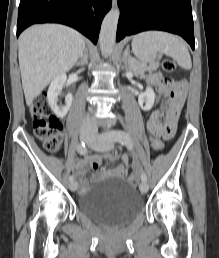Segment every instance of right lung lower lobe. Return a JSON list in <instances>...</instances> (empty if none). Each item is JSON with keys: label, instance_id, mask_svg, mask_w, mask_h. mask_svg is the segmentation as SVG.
Here are the masks:
<instances>
[{"label": "right lung lower lobe", "instance_id": "1", "mask_svg": "<svg viewBox=\"0 0 219 258\" xmlns=\"http://www.w3.org/2000/svg\"><path fill=\"white\" fill-rule=\"evenodd\" d=\"M112 0H20L17 36L35 23H62L97 43L104 15Z\"/></svg>", "mask_w": 219, "mask_h": 258}]
</instances>
